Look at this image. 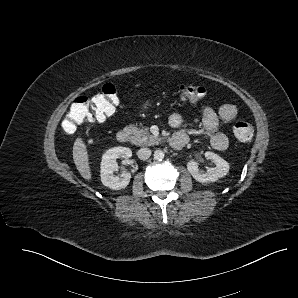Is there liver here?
I'll return each instance as SVG.
<instances>
[{"mask_svg": "<svg viewBox=\"0 0 298 298\" xmlns=\"http://www.w3.org/2000/svg\"><path fill=\"white\" fill-rule=\"evenodd\" d=\"M73 159L74 163L80 172V174L85 178H90V170L87 160V153L83 142L77 139L73 146Z\"/></svg>", "mask_w": 298, "mask_h": 298, "instance_id": "liver-1", "label": "liver"}]
</instances>
